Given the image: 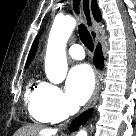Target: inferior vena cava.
Segmentation results:
<instances>
[{
	"mask_svg": "<svg viewBox=\"0 0 136 136\" xmlns=\"http://www.w3.org/2000/svg\"><path fill=\"white\" fill-rule=\"evenodd\" d=\"M78 110H79V107H75V106H70L68 108V112H69L70 115L77 113Z\"/></svg>",
	"mask_w": 136,
	"mask_h": 136,
	"instance_id": "602c4592",
	"label": "inferior vena cava"
}]
</instances>
